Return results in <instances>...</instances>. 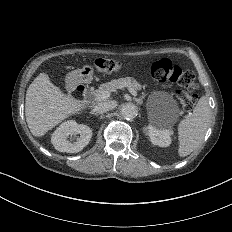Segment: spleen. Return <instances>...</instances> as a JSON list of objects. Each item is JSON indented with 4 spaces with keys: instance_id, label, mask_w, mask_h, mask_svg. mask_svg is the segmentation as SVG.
<instances>
[{
    "instance_id": "spleen-1",
    "label": "spleen",
    "mask_w": 232,
    "mask_h": 232,
    "mask_svg": "<svg viewBox=\"0 0 232 232\" xmlns=\"http://www.w3.org/2000/svg\"><path fill=\"white\" fill-rule=\"evenodd\" d=\"M211 119V109L206 96H202L193 113L185 116L179 123V156L185 157L193 152L203 140Z\"/></svg>"
}]
</instances>
